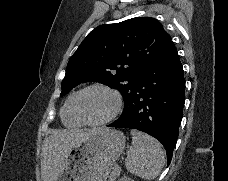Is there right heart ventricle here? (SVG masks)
<instances>
[{"label": "right heart ventricle", "mask_w": 228, "mask_h": 181, "mask_svg": "<svg viewBox=\"0 0 228 181\" xmlns=\"http://www.w3.org/2000/svg\"><path fill=\"white\" fill-rule=\"evenodd\" d=\"M76 97L77 93L72 94L62 111V119L69 127H78L82 125V121L79 119L74 109V101Z\"/></svg>", "instance_id": "1"}]
</instances>
